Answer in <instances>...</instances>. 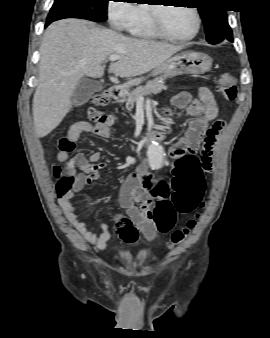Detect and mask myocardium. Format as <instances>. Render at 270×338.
I'll list each match as a JSON object with an SVG mask.
<instances>
[{
	"mask_svg": "<svg viewBox=\"0 0 270 338\" xmlns=\"http://www.w3.org/2000/svg\"><path fill=\"white\" fill-rule=\"evenodd\" d=\"M149 7H150V24H151V27L158 36H160L164 39L174 41V42L189 41V40H192L193 38H195L200 31L201 18H200V14H199L197 8L190 7V9L194 12L195 17H196V28H195L194 32L189 36L178 37V36H174V35L170 34L165 29V27L163 25L162 17H161L162 10L164 8L171 7V6H167L166 4L165 5L154 4V5H149Z\"/></svg>",
	"mask_w": 270,
	"mask_h": 338,
	"instance_id": "1",
	"label": "myocardium"
}]
</instances>
